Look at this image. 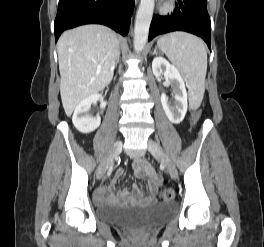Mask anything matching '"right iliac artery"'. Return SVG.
I'll use <instances>...</instances> for the list:
<instances>
[{"instance_id":"right-iliac-artery-1","label":"right iliac artery","mask_w":264,"mask_h":247,"mask_svg":"<svg viewBox=\"0 0 264 247\" xmlns=\"http://www.w3.org/2000/svg\"><path fill=\"white\" fill-rule=\"evenodd\" d=\"M112 170H113V165H111V166H110V168H109V170H108V174H107L108 176H110V175H111V173H112Z\"/></svg>"}]
</instances>
